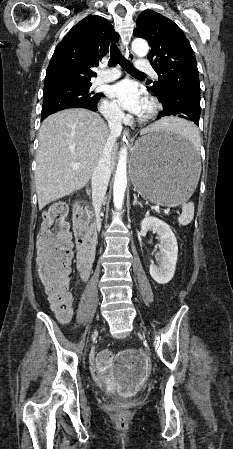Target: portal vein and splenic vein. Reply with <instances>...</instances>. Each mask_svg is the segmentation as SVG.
<instances>
[{"label":"portal vein and splenic vein","instance_id":"portal-vein-and-splenic-vein-1","mask_svg":"<svg viewBox=\"0 0 233 449\" xmlns=\"http://www.w3.org/2000/svg\"><path fill=\"white\" fill-rule=\"evenodd\" d=\"M73 168H74V169H78V168H79V163L74 164V165H73ZM155 210L158 211V210H159V207H155ZM169 212H170V208H167V209H164V210H163V213H164V214H169Z\"/></svg>","mask_w":233,"mask_h":449}]
</instances>
